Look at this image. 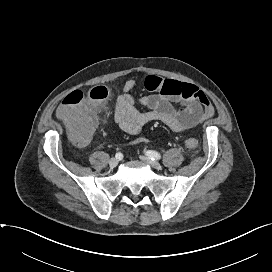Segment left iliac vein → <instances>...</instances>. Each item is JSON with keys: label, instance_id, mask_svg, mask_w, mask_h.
Listing matches in <instances>:
<instances>
[{"label": "left iliac vein", "instance_id": "1", "mask_svg": "<svg viewBox=\"0 0 272 272\" xmlns=\"http://www.w3.org/2000/svg\"><path fill=\"white\" fill-rule=\"evenodd\" d=\"M140 159L143 160L145 163L149 164L151 167H153L155 169H161L162 168L161 164L158 161L152 160L149 157L140 156Z\"/></svg>", "mask_w": 272, "mask_h": 272}]
</instances>
